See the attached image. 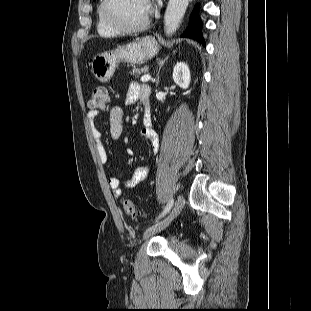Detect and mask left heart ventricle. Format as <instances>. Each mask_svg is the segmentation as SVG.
I'll return each instance as SVG.
<instances>
[{
    "instance_id": "b2bd125f",
    "label": "left heart ventricle",
    "mask_w": 311,
    "mask_h": 311,
    "mask_svg": "<svg viewBox=\"0 0 311 311\" xmlns=\"http://www.w3.org/2000/svg\"><path fill=\"white\" fill-rule=\"evenodd\" d=\"M111 13L124 26H136L146 20L150 11L146 0H114Z\"/></svg>"
}]
</instances>
